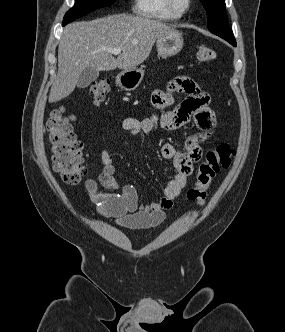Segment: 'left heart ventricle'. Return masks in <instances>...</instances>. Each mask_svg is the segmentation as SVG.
I'll return each instance as SVG.
<instances>
[{
	"label": "left heart ventricle",
	"mask_w": 285,
	"mask_h": 332,
	"mask_svg": "<svg viewBox=\"0 0 285 332\" xmlns=\"http://www.w3.org/2000/svg\"><path fill=\"white\" fill-rule=\"evenodd\" d=\"M175 1L180 8H183L186 5V0H175Z\"/></svg>",
	"instance_id": "b2bd125f"
}]
</instances>
